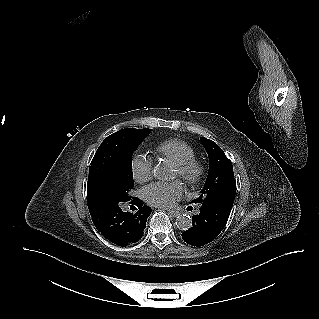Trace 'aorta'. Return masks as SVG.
Instances as JSON below:
<instances>
[{
	"mask_svg": "<svg viewBox=\"0 0 319 319\" xmlns=\"http://www.w3.org/2000/svg\"><path fill=\"white\" fill-rule=\"evenodd\" d=\"M153 175L158 180H164L167 178L166 169L158 164L153 169ZM175 225L180 230H188L192 227V218L188 214H180L175 220Z\"/></svg>",
	"mask_w": 319,
	"mask_h": 319,
	"instance_id": "obj_1",
	"label": "aorta"
}]
</instances>
